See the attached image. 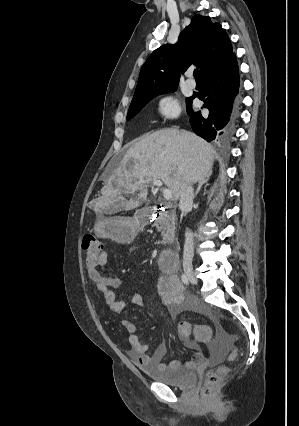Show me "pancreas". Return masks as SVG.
Here are the masks:
<instances>
[{"label":"pancreas","mask_w":299,"mask_h":426,"mask_svg":"<svg viewBox=\"0 0 299 426\" xmlns=\"http://www.w3.org/2000/svg\"><path fill=\"white\" fill-rule=\"evenodd\" d=\"M154 224L158 228V231L161 232L164 244L170 243L174 240L176 225V214L174 211L161 212Z\"/></svg>","instance_id":"cf45deb5"}]
</instances>
